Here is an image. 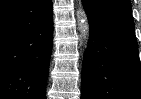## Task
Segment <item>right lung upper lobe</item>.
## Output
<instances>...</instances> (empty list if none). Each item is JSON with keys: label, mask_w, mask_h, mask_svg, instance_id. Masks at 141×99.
<instances>
[{"label": "right lung upper lobe", "mask_w": 141, "mask_h": 99, "mask_svg": "<svg viewBox=\"0 0 141 99\" xmlns=\"http://www.w3.org/2000/svg\"><path fill=\"white\" fill-rule=\"evenodd\" d=\"M16 0H0V8H3L11 3H13Z\"/></svg>", "instance_id": "right-lung-upper-lobe-1"}]
</instances>
